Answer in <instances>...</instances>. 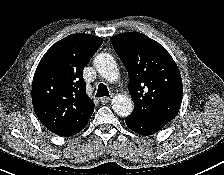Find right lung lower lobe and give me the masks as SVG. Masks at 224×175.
<instances>
[{"label":"right lung lower lobe","instance_id":"obj_1","mask_svg":"<svg viewBox=\"0 0 224 175\" xmlns=\"http://www.w3.org/2000/svg\"><path fill=\"white\" fill-rule=\"evenodd\" d=\"M89 119L86 120L85 122L81 123V124H78L77 126H74L70 129L62 132V133H59L58 135H60V136H72V135L78 133L79 131H81L87 125Z\"/></svg>","mask_w":224,"mask_h":175}]
</instances>
